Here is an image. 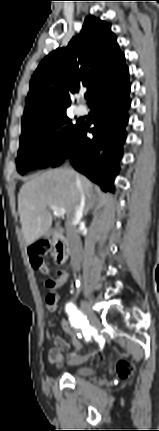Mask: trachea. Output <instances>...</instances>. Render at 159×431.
<instances>
[{
	"label": "trachea",
	"mask_w": 159,
	"mask_h": 431,
	"mask_svg": "<svg viewBox=\"0 0 159 431\" xmlns=\"http://www.w3.org/2000/svg\"><path fill=\"white\" fill-rule=\"evenodd\" d=\"M89 95H90L89 93H86V94H85V98H86V99H88V98H89Z\"/></svg>",
	"instance_id": "trachea-1"
}]
</instances>
